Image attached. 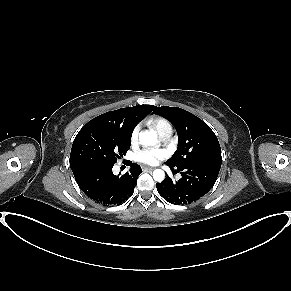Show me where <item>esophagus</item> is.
Segmentation results:
<instances>
[{
    "label": "esophagus",
    "instance_id": "1",
    "mask_svg": "<svg viewBox=\"0 0 291 291\" xmlns=\"http://www.w3.org/2000/svg\"><path fill=\"white\" fill-rule=\"evenodd\" d=\"M142 169L144 171H153L154 170V167L143 166Z\"/></svg>",
    "mask_w": 291,
    "mask_h": 291
}]
</instances>
